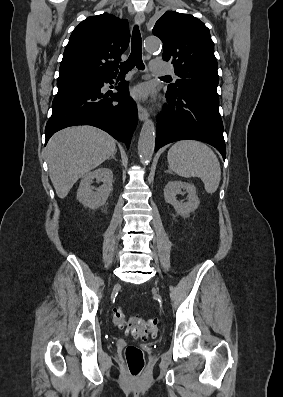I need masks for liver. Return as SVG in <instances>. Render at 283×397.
Masks as SVG:
<instances>
[{
  "label": "liver",
  "instance_id": "liver-1",
  "mask_svg": "<svg viewBox=\"0 0 283 397\" xmlns=\"http://www.w3.org/2000/svg\"><path fill=\"white\" fill-rule=\"evenodd\" d=\"M116 152V141L92 126H75L55 133L46 146L49 176L59 198L75 182Z\"/></svg>",
  "mask_w": 283,
  "mask_h": 397
}]
</instances>
